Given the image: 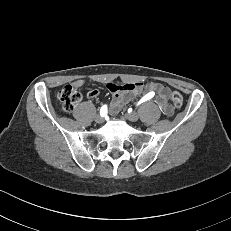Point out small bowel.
Listing matches in <instances>:
<instances>
[{
    "label": "small bowel",
    "mask_w": 231,
    "mask_h": 231,
    "mask_svg": "<svg viewBox=\"0 0 231 231\" xmlns=\"http://www.w3.org/2000/svg\"><path fill=\"white\" fill-rule=\"evenodd\" d=\"M84 84L85 80L83 79H78L73 83V85L76 87H81ZM107 87L114 96V100L110 107V112L112 114H117L120 111L121 107L126 102H128L133 95H136L141 91L143 85L141 83H125L123 85L109 83ZM146 90L149 93H151V91H156V100L163 113L167 116L173 115V108L168 101L169 89L167 87L159 83L152 82L147 85ZM98 95L99 91L97 89H92L88 92L89 98H96Z\"/></svg>",
    "instance_id": "small-bowel-1"
}]
</instances>
